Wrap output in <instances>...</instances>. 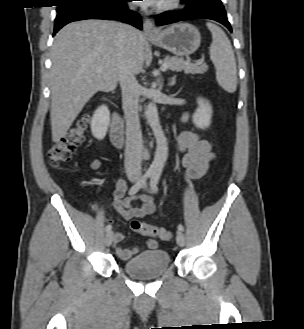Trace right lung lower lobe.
Instances as JSON below:
<instances>
[{
	"label": "right lung lower lobe",
	"instance_id": "98d812e1",
	"mask_svg": "<svg viewBox=\"0 0 304 329\" xmlns=\"http://www.w3.org/2000/svg\"><path fill=\"white\" fill-rule=\"evenodd\" d=\"M129 1L131 0L79 1L60 4L55 18L54 35L64 25L85 19H117L141 30L142 22L139 14L127 8L126 3Z\"/></svg>",
	"mask_w": 304,
	"mask_h": 329
}]
</instances>
